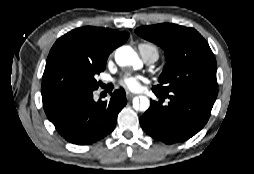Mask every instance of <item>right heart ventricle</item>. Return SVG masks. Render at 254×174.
Here are the masks:
<instances>
[{"instance_id":"1","label":"right heart ventricle","mask_w":254,"mask_h":174,"mask_svg":"<svg viewBox=\"0 0 254 174\" xmlns=\"http://www.w3.org/2000/svg\"><path fill=\"white\" fill-rule=\"evenodd\" d=\"M139 50L140 51H145V50H154L158 53L157 49L155 46L151 45V44H147V43H141L139 44Z\"/></svg>"}]
</instances>
